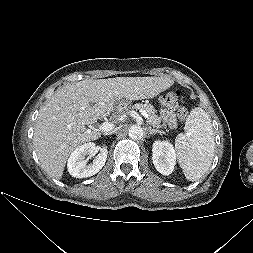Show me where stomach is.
<instances>
[{"label":"stomach","mask_w":253,"mask_h":253,"mask_svg":"<svg viewBox=\"0 0 253 253\" xmlns=\"http://www.w3.org/2000/svg\"><path fill=\"white\" fill-rule=\"evenodd\" d=\"M169 95L167 94L166 96L161 97V101L163 103H166L168 100ZM115 108L117 111L122 112V113H127L131 110L132 108V102L130 99L125 98V97H119L115 101Z\"/></svg>","instance_id":"0dacf381"}]
</instances>
